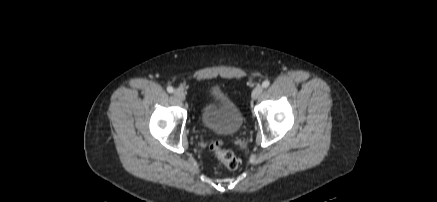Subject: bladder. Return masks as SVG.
<instances>
[{
    "instance_id": "bladder-1",
    "label": "bladder",
    "mask_w": 437,
    "mask_h": 202,
    "mask_svg": "<svg viewBox=\"0 0 437 202\" xmlns=\"http://www.w3.org/2000/svg\"><path fill=\"white\" fill-rule=\"evenodd\" d=\"M198 119L206 130L225 136L237 134L244 124L241 109L219 88L210 90Z\"/></svg>"
}]
</instances>
